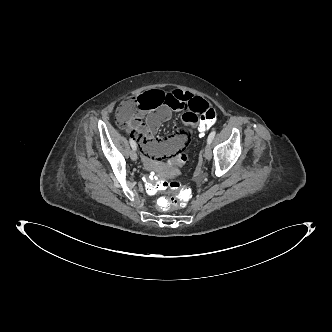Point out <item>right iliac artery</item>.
<instances>
[{
	"label": "right iliac artery",
	"instance_id": "obj_1",
	"mask_svg": "<svg viewBox=\"0 0 332 332\" xmlns=\"http://www.w3.org/2000/svg\"><path fill=\"white\" fill-rule=\"evenodd\" d=\"M129 142H130L132 149L136 150V148H137L136 142L132 138L129 139Z\"/></svg>",
	"mask_w": 332,
	"mask_h": 332
}]
</instances>
